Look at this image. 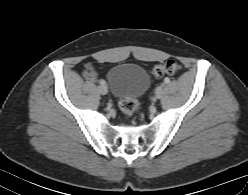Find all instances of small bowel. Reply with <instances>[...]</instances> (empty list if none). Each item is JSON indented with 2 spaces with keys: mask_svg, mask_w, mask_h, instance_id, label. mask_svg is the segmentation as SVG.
<instances>
[{
  "mask_svg": "<svg viewBox=\"0 0 248 195\" xmlns=\"http://www.w3.org/2000/svg\"><path fill=\"white\" fill-rule=\"evenodd\" d=\"M84 76L90 82H93L97 79V73L92 66L86 67V69L84 71Z\"/></svg>",
  "mask_w": 248,
  "mask_h": 195,
  "instance_id": "1",
  "label": "small bowel"
}]
</instances>
